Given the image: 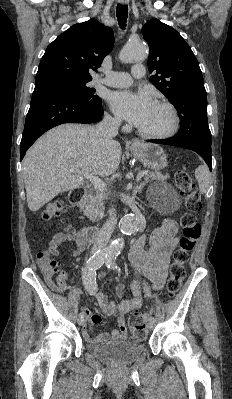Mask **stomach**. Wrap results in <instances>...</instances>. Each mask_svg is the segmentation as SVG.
<instances>
[{"label": "stomach", "mask_w": 232, "mask_h": 399, "mask_svg": "<svg viewBox=\"0 0 232 399\" xmlns=\"http://www.w3.org/2000/svg\"><path fill=\"white\" fill-rule=\"evenodd\" d=\"M131 154L134 160L142 162L143 166L150 168V170H162L167 166V156L160 148L154 144H145L141 140H135L131 146Z\"/></svg>", "instance_id": "1"}]
</instances>
